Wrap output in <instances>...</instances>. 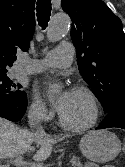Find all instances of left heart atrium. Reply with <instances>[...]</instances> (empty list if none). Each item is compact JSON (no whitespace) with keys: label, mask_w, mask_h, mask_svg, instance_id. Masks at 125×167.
Listing matches in <instances>:
<instances>
[{"label":"left heart atrium","mask_w":125,"mask_h":167,"mask_svg":"<svg viewBox=\"0 0 125 167\" xmlns=\"http://www.w3.org/2000/svg\"><path fill=\"white\" fill-rule=\"evenodd\" d=\"M71 93H72L71 90L66 89L62 93H60V95L55 100L54 105L60 113L65 109L70 99Z\"/></svg>","instance_id":"obj_1"}]
</instances>
